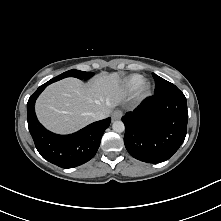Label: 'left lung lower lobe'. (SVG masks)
Wrapping results in <instances>:
<instances>
[{
    "mask_svg": "<svg viewBox=\"0 0 221 221\" xmlns=\"http://www.w3.org/2000/svg\"><path fill=\"white\" fill-rule=\"evenodd\" d=\"M125 147L134 158L159 163L168 160L183 143L188 111L179 90L147 98L123 118Z\"/></svg>",
    "mask_w": 221,
    "mask_h": 221,
    "instance_id": "0a47b994",
    "label": "left lung lower lobe"
}]
</instances>
